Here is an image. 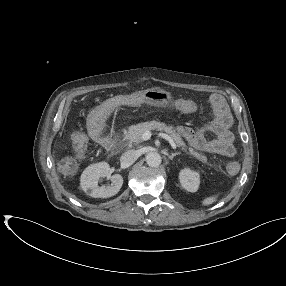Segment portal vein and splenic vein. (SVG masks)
<instances>
[{"mask_svg": "<svg viewBox=\"0 0 286 286\" xmlns=\"http://www.w3.org/2000/svg\"><path fill=\"white\" fill-rule=\"evenodd\" d=\"M151 135H152V133L149 130H146L142 134L141 140H143V141L149 140ZM157 136L166 139L169 142V144L171 145V147L173 149H176V144L174 143V141L172 140V138L169 135H167L165 133H157Z\"/></svg>", "mask_w": 286, "mask_h": 286, "instance_id": "portal-vein-and-splenic-vein-1", "label": "portal vein and splenic vein"}]
</instances>
